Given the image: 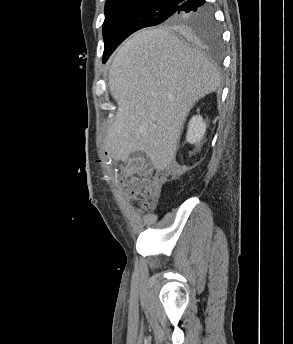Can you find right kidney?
<instances>
[{
	"mask_svg": "<svg viewBox=\"0 0 293 344\" xmlns=\"http://www.w3.org/2000/svg\"><path fill=\"white\" fill-rule=\"evenodd\" d=\"M206 132V123L200 115L193 116L188 124L187 142L199 144Z\"/></svg>",
	"mask_w": 293,
	"mask_h": 344,
	"instance_id": "right-kidney-1",
	"label": "right kidney"
}]
</instances>
